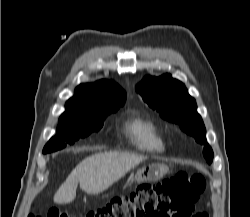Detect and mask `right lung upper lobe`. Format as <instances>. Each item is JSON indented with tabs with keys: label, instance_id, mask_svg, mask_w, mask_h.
I'll use <instances>...</instances> for the list:
<instances>
[{
	"label": "right lung upper lobe",
	"instance_id": "obj_1",
	"mask_svg": "<svg viewBox=\"0 0 250 217\" xmlns=\"http://www.w3.org/2000/svg\"><path fill=\"white\" fill-rule=\"evenodd\" d=\"M126 100L125 91L113 81L80 84L66 104L59 122L86 120L97 114L117 111Z\"/></svg>",
	"mask_w": 250,
	"mask_h": 217
}]
</instances>
